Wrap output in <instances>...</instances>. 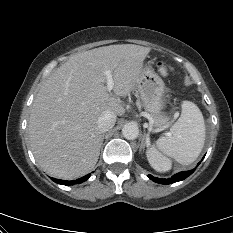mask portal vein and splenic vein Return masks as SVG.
Listing matches in <instances>:
<instances>
[{"instance_id": "1", "label": "portal vein and splenic vein", "mask_w": 233, "mask_h": 233, "mask_svg": "<svg viewBox=\"0 0 233 233\" xmlns=\"http://www.w3.org/2000/svg\"><path fill=\"white\" fill-rule=\"evenodd\" d=\"M105 76L107 79V90L111 91L113 89L114 86V80H113V76H112V70H107L105 71Z\"/></svg>"}]
</instances>
